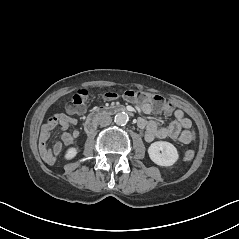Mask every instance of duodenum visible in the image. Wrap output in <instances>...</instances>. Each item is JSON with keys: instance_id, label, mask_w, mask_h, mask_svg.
<instances>
[{"instance_id": "410a0bca", "label": "duodenum", "mask_w": 239, "mask_h": 239, "mask_svg": "<svg viewBox=\"0 0 239 239\" xmlns=\"http://www.w3.org/2000/svg\"><path fill=\"white\" fill-rule=\"evenodd\" d=\"M130 113L128 109L122 105L118 106H107V107H98L94 109L88 115L86 122H85V131L87 133H91L95 130L98 121L107 115L117 114V113Z\"/></svg>"}]
</instances>
